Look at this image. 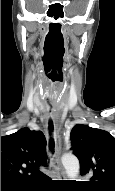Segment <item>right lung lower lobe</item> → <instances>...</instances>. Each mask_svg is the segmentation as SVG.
<instances>
[{
  "label": "right lung lower lobe",
  "mask_w": 115,
  "mask_h": 191,
  "mask_svg": "<svg viewBox=\"0 0 115 191\" xmlns=\"http://www.w3.org/2000/svg\"><path fill=\"white\" fill-rule=\"evenodd\" d=\"M48 179L49 178L45 179V181H49ZM3 188H8L10 190H2ZM3 188L1 187V191H23L22 188H9V187H3Z\"/></svg>",
  "instance_id": "right-lung-lower-lobe-1"
}]
</instances>
